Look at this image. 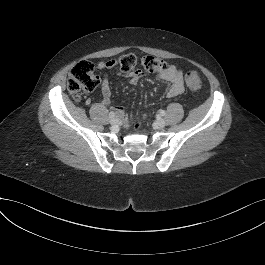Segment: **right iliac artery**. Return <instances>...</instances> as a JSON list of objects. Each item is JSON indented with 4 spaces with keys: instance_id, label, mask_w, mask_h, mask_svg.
Segmentation results:
<instances>
[{
    "instance_id": "right-iliac-artery-1",
    "label": "right iliac artery",
    "mask_w": 265,
    "mask_h": 265,
    "mask_svg": "<svg viewBox=\"0 0 265 265\" xmlns=\"http://www.w3.org/2000/svg\"><path fill=\"white\" fill-rule=\"evenodd\" d=\"M109 116H110L111 118H113V117L115 116L114 112H110V113H109Z\"/></svg>"
}]
</instances>
